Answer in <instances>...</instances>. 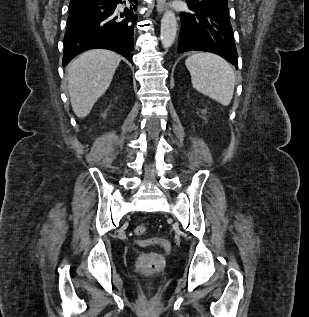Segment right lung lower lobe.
Listing matches in <instances>:
<instances>
[{
  "mask_svg": "<svg viewBox=\"0 0 309 317\" xmlns=\"http://www.w3.org/2000/svg\"><path fill=\"white\" fill-rule=\"evenodd\" d=\"M128 7L119 10V3ZM64 36L63 66L83 51L103 48L132 62L137 0H71Z\"/></svg>",
  "mask_w": 309,
  "mask_h": 317,
  "instance_id": "right-lung-lower-lobe-1",
  "label": "right lung lower lobe"
}]
</instances>
